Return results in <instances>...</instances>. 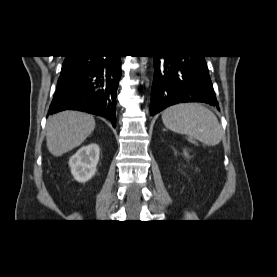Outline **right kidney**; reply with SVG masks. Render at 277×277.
I'll list each match as a JSON object with an SVG mask.
<instances>
[{"mask_svg":"<svg viewBox=\"0 0 277 277\" xmlns=\"http://www.w3.org/2000/svg\"><path fill=\"white\" fill-rule=\"evenodd\" d=\"M100 148L96 143L81 147L69 159L71 173L78 182H87L96 173Z\"/></svg>","mask_w":277,"mask_h":277,"instance_id":"ca27d5eb","label":"right kidney"}]
</instances>
